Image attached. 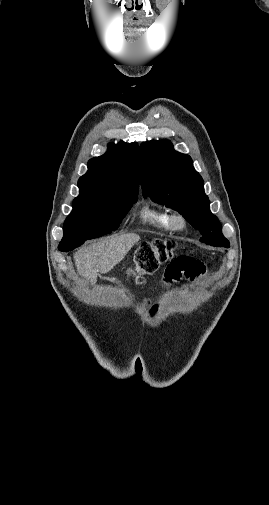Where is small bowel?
Segmentation results:
<instances>
[{
  "label": "small bowel",
  "instance_id": "obj_1",
  "mask_svg": "<svg viewBox=\"0 0 269 505\" xmlns=\"http://www.w3.org/2000/svg\"><path fill=\"white\" fill-rule=\"evenodd\" d=\"M163 271L166 272V278L169 282H175L184 274L186 278L191 280L197 278L202 273L207 271L206 262L204 260H194V259H172L169 265L163 266ZM182 271L178 277L177 273ZM161 302V299H158Z\"/></svg>",
  "mask_w": 269,
  "mask_h": 505
}]
</instances>
